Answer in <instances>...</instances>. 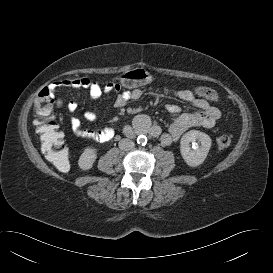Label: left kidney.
I'll use <instances>...</instances> for the list:
<instances>
[{
  "label": "left kidney",
  "instance_id": "1",
  "mask_svg": "<svg viewBox=\"0 0 273 273\" xmlns=\"http://www.w3.org/2000/svg\"><path fill=\"white\" fill-rule=\"evenodd\" d=\"M195 141H199L200 145ZM191 142L192 148L190 147ZM211 144L212 140L207 134L191 130L182 136L180 140V152L187 165L197 167L206 159Z\"/></svg>",
  "mask_w": 273,
  "mask_h": 273
}]
</instances>
